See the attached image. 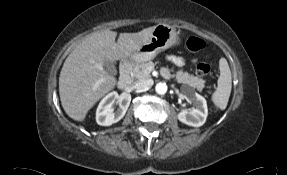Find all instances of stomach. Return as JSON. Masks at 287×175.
<instances>
[{
  "label": "stomach",
  "mask_w": 287,
  "mask_h": 175,
  "mask_svg": "<svg viewBox=\"0 0 287 175\" xmlns=\"http://www.w3.org/2000/svg\"><path fill=\"white\" fill-rule=\"evenodd\" d=\"M179 44V37L174 27L160 23L154 27L149 41L143 44L129 58L141 63L153 59L159 52Z\"/></svg>",
  "instance_id": "stomach-1"
}]
</instances>
